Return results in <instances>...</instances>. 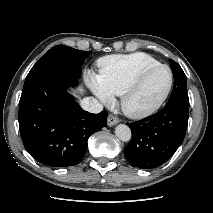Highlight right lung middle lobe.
Segmentation results:
<instances>
[{
  "label": "right lung middle lobe",
  "mask_w": 213,
  "mask_h": 213,
  "mask_svg": "<svg viewBox=\"0 0 213 213\" xmlns=\"http://www.w3.org/2000/svg\"><path fill=\"white\" fill-rule=\"evenodd\" d=\"M90 53L91 51H81L65 45H57L48 50L31 70L46 66H59L72 71L77 77H80V67Z\"/></svg>",
  "instance_id": "right-lung-middle-lobe-1"
}]
</instances>
